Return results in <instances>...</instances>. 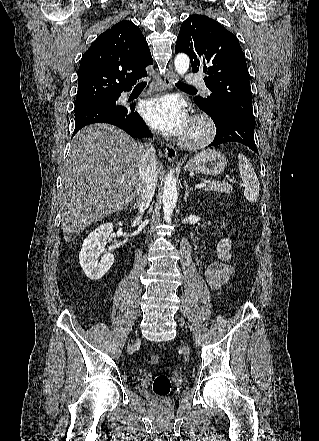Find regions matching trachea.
<instances>
[{
	"mask_svg": "<svg viewBox=\"0 0 319 441\" xmlns=\"http://www.w3.org/2000/svg\"><path fill=\"white\" fill-rule=\"evenodd\" d=\"M146 85H147V82H146V81H142V82L138 83V84L136 85V87H137V88H139V87H145ZM175 85L178 86V87H183V88H188V89H194V87L189 86V85H186V84L181 83V82H177Z\"/></svg>",
	"mask_w": 319,
	"mask_h": 441,
	"instance_id": "1",
	"label": "trachea"
}]
</instances>
